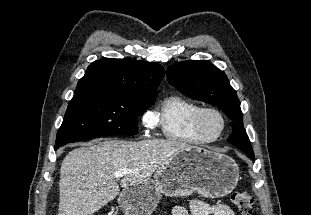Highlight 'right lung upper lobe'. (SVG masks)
<instances>
[{"mask_svg":"<svg viewBox=\"0 0 311 215\" xmlns=\"http://www.w3.org/2000/svg\"><path fill=\"white\" fill-rule=\"evenodd\" d=\"M164 68L156 62L103 58L89 65L76 90L99 89L136 96H157Z\"/></svg>","mask_w":311,"mask_h":215,"instance_id":"obj_1","label":"right lung upper lobe"}]
</instances>
